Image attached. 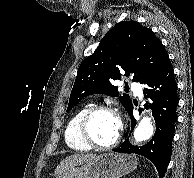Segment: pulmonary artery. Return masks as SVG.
Segmentation results:
<instances>
[{
    "label": "pulmonary artery",
    "instance_id": "1",
    "mask_svg": "<svg viewBox=\"0 0 194 178\" xmlns=\"http://www.w3.org/2000/svg\"><path fill=\"white\" fill-rule=\"evenodd\" d=\"M131 86H132L134 93L136 95H138L139 97H141L142 96V89L140 88V86L135 84V83H131Z\"/></svg>",
    "mask_w": 194,
    "mask_h": 178
}]
</instances>
